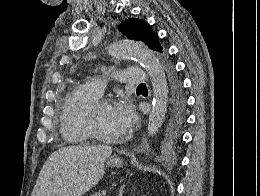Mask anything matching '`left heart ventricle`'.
Masks as SVG:
<instances>
[{"instance_id": "left-heart-ventricle-1", "label": "left heart ventricle", "mask_w": 260, "mask_h": 196, "mask_svg": "<svg viewBox=\"0 0 260 196\" xmlns=\"http://www.w3.org/2000/svg\"><path fill=\"white\" fill-rule=\"evenodd\" d=\"M95 122L100 130L109 134L114 135L121 132V129L114 115L113 105L100 108L95 115Z\"/></svg>"}]
</instances>
